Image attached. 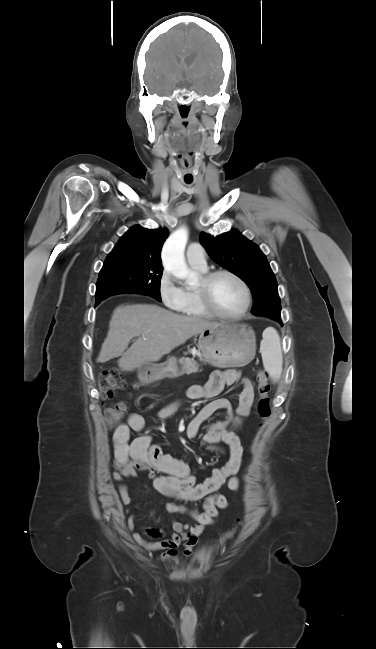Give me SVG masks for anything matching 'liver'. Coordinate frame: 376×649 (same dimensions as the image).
<instances>
[{
    "label": "liver",
    "mask_w": 376,
    "mask_h": 649,
    "mask_svg": "<svg viewBox=\"0 0 376 649\" xmlns=\"http://www.w3.org/2000/svg\"><path fill=\"white\" fill-rule=\"evenodd\" d=\"M220 325L218 322L178 315L158 305H121L113 311L97 362L104 363L121 357L118 360L119 368L133 371L159 361L163 355L203 330ZM133 337L138 339L128 349Z\"/></svg>",
    "instance_id": "1"
}]
</instances>
